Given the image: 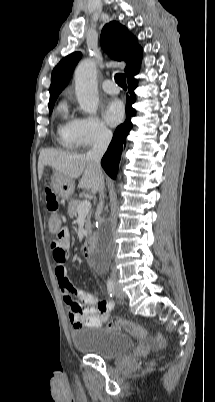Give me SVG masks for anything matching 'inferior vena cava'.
<instances>
[{
    "mask_svg": "<svg viewBox=\"0 0 215 402\" xmlns=\"http://www.w3.org/2000/svg\"><path fill=\"white\" fill-rule=\"evenodd\" d=\"M112 139V133L111 131L107 129H103L100 131L99 136L93 145L92 149L87 152V159L93 164L95 169L99 172L102 173L101 171V158L104 155L105 151L107 150V147ZM104 181L101 180L100 186H99V195H100V203H99V208L103 207V198H104ZM111 278L115 282L116 281V271L114 268H112L111 272Z\"/></svg>",
    "mask_w": 215,
    "mask_h": 402,
    "instance_id": "602c4592",
    "label": "inferior vena cava"
}]
</instances>
